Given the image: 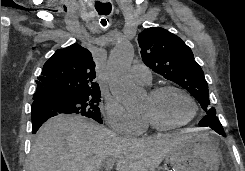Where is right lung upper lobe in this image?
Wrapping results in <instances>:
<instances>
[{
    "mask_svg": "<svg viewBox=\"0 0 245 171\" xmlns=\"http://www.w3.org/2000/svg\"><path fill=\"white\" fill-rule=\"evenodd\" d=\"M95 77V63L87 49L79 44L58 49L44 64L36 81L34 102L53 95L100 93Z\"/></svg>",
    "mask_w": 245,
    "mask_h": 171,
    "instance_id": "right-lung-upper-lobe-1",
    "label": "right lung upper lobe"
}]
</instances>
